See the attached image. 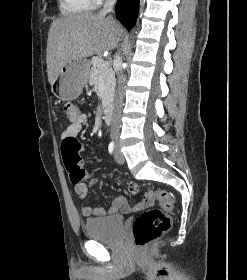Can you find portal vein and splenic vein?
Returning a JSON list of instances; mask_svg holds the SVG:
<instances>
[{
	"mask_svg": "<svg viewBox=\"0 0 247 280\" xmlns=\"http://www.w3.org/2000/svg\"><path fill=\"white\" fill-rule=\"evenodd\" d=\"M107 67H109V63L108 62L102 63L101 69H106Z\"/></svg>",
	"mask_w": 247,
	"mask_h": 280,
	"instance_id": "1",
	"label": "portal vein and splenic vein"
}]
</instances>
